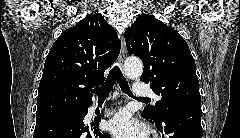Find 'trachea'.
<instances>
[{
	"label": "trachea",
	"instance_id": "obj_1",
	"mask_svg": "<svg viewBox=\"0 0 240 138\" xmlns=\"http://www.w3.org/2000/svg\"><path fill=\"white\" fill-rule=\"evenodd\" d=\"M116 82H118L121 90L125 94H127L135 99L149 101L148 98H137V97L133 96L129 85L118 66H114L112 68V70L109 72V75H108L106 81L104 82V84H102V86H100V87L95 88L93 90V92L99 97V99L106 98L112 91L113 85Z\"/></svg>",
	"mask_w": 240,
	"mask_h": 138
}]
</instances>
